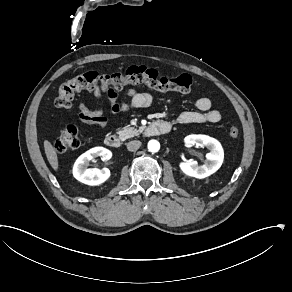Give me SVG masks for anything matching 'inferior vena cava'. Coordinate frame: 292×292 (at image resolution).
Listing matches in <instances>:
<instances>
[{"label":"inferior vena cava","instance_id":"inferior-vena-cava-1","mask_svg":"<svg viewBox=\"0 0 292 292\" xmlns=\"http://www.w3.org/2000/svg\"><path fill=\"white\" fill-rule=\"evenodd\" d=\"M141 146V142L138 140H134V141H130L127 144V150L130 152H135L139 149V147Z\"/></svg>","mask_w":292,"mask_h":292}]
</instances>
